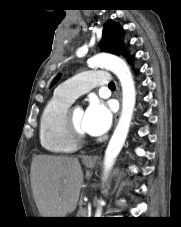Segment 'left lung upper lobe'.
<instances>
[{
    "label": "left lung upper lobe",
    "mask_w": 181,
    "mask_h": 227,
    "mask_svg": "<svg viewBox=\"0 0 181 227\" xmlns=\"http://www.w3.org/2000/svg\"><path fill=\"white\" fill-rule=\"evenodd\" d=\"M120 33L121 32L119 30L118 24H115L113 22H107L104 25L103 38L99 43L101 51L120 55L123 49ZM60 76L61 74H58L51 85L56 83Z\"/></svg>",
    "instance_id": "5c2ea615"
}]
</instances>
